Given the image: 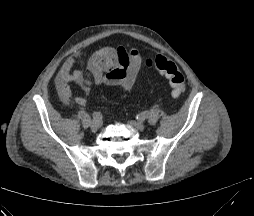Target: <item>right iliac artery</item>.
<instances>
[{"label":"right iliac artery","mask_w":254,"mask_h":216,"mask_svg":"<svg viewBox=\"0 0 254 216\" xmlns=\"http://www.w3.org/2000/svg\"><path fill=\"white\" fill-rule=\"evenodd\" d=\"M92 117H93L94 121H96V122H101L103 119V116L100 112H94Z\"/></svg>","instance_id":"1"}]
</instances>
